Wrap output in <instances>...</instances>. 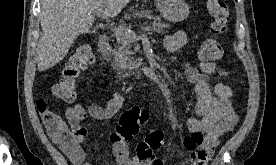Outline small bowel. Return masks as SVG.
I'll use <instances>...</instances> for the list:
<instances>
[{
    "label": "small bowel",
    "instance_id": "c3829d8e",
    "mask_svg": "<svg viewBox=\"0 0 276 165\" xmlns=\"http://www.w3.org/2000/svg\"><path fill=\"white\" fill-rule=\"evenodd\" d=\"M187 40L188 37L184 31H177L165 37V48L168 52H176L186 45ZM183 69L186 78L194 84L196 93L194 115L186 119V125L190 132L200 133L204 136L203 144L191 153L190 165H207L223 134L230 131L238 121V115L232 102L231 87L223 82H217L213 87L208 83L210 76L217 75L226 78L229 73L215 62L208 61H202L198 67L184 64ZM122 104V95L114 93L104 106L92 103L84 107L77 103L66 109L65 115L75 133V140L70 145L55 141L73 165H92L82 147L89 137V131L86 127L81 126V122L89 117L97 121L109 122L118 113ZM41 118L50 135L49 121L43 116ZM63 124L65 125L64 122ZM113 153L117 165L164 164L154 153L141 154L137 152L135 157H131L128 144L124 141L114 142Z\"/></svg>",
    "mask_w": 276,
    "mask_h": 165
}]
</instances>
